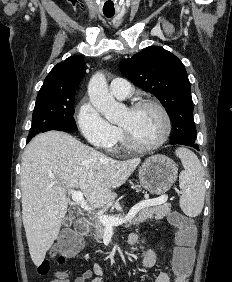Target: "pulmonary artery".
Listing matches in <instances>:
<instances>
[{
	"label": "pulmonary artery",
	"mask_w": 232,
	"mask_h": 282,
	"mask_svg": "<svg viewBox=\"0 0 232 282\" xmlns=\"http://www.w3.org/2000/svg\"><path fill=\"white\" fill-rule=\"evenodd\" d=\"M130 83L122 78H115L110 83V91L117 99H125L131 94Z\"/></svg>",
	"instance_id": "e3ab8cb5"
}]
</instances>
